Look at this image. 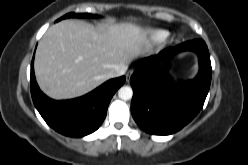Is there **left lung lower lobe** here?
<instances>
[{
  "instance_id": "left-lung-lower-lobe-1",
  "label": "left lung lower lobe",
  "mask_w": 248,
  "mask_h": 165,
  "mask_svg": "<svg viewBox=\"0 0 248 165\" xmlns=\"http://www.w3.org/2000/svg\"><path fill=\"white\" fill-rule=\"evenodd\" d=\"M194 51L199 57V73L190 81L175 84L167 78L160 62L181 51ZM211 61L201 39L184 42L142 59L131 76V112L142 130L169 135L188 124L201 110L211 83Z\"/></svg>"
}]
</instances>
